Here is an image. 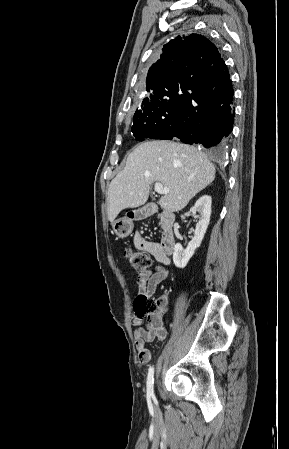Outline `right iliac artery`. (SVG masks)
Returning a JSON list of instances; mask_svg holds the SVG:
<instances>
[{"label": "right iliac artery", "instance_id": "obj_1", "mask_svg": "<svg viewBox=\"0 0 289 449\" xmlns=\"http://www.w3.org/2000/svg\"><path fill=\"white\" fill-rule=\"evenodd\" d=\"M154 396V368L150 367L147 376V397Z\"/></svg>", "mask_w": 289, "mask_h": 449}]
</instances>
